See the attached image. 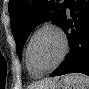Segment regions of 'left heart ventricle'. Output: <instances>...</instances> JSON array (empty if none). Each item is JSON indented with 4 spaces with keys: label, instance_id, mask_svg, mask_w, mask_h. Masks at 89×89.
<instances>
[{
    "label": "left heart ventricle",
    "instance_id": "b2bd125f",
    "mask_svg": "<svg viewBox=\"0 0 89 89\" xmlns=\"http://www.w3.org/2000/svg\"><path fill=\"white\" fill-rule=\"evenodd\" d=\"M61 52V40L50 29L41 31L33 40L30 59L35 70H43L53 65Z\"/></svg>",
    "mask_w": 89,
    "mask_h": 89
}]
</instances>
